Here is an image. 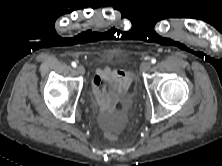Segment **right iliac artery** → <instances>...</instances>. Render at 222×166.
<instances>
[{
	"label": "right iliac artery",
	"instance_id": "82829eb1",
	"mask_svg": "<svg viewBox=\"0 0 222 166\" xmlns=\"http://www.w3.org/2000/svg\"><path fill=\"white\" fill-rule=\"evenodd\" d=\"M74 68L77 66L76 62H72L71 64Z\"/></svg>",
	"mask_w": 222,
	"mask_h": 166
}]
</instances>
